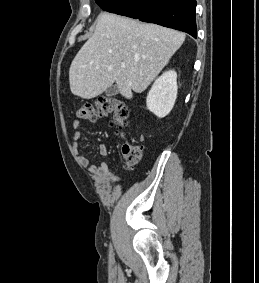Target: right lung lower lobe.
I'll return each mask as SVG.
<instances>
[{"label": "right lung lower lobe", "instance_id": "98d812e1", "mask_svg": "<svg viewBox=\"0 0 259 283\" xmlns=\"http://www.w3.org/2000/svg\"><path fill=\"white\" fill-rule=\"evenodd\" d=\"M105 11L184 31L196 38V0H95Z\"/></svg>", "mask_w": 259, "mask_h": 283}]
</instances>
